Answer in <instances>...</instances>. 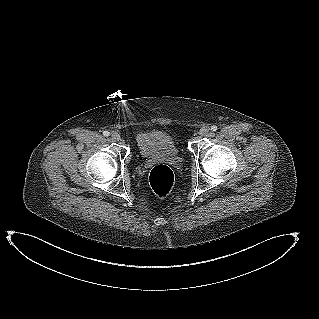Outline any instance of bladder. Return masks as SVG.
Masks as SVG:
<instances>
[{"label": "bladder", "instance_id": "31cf9c89", "mask_svg": "<svg viewBox=\"0 0 319 319\" xmlns=\"http://www.w3.org/2000/svg\"><path fill=\"white\" fill-rule=\"evenodd\" d=\"M137 150L144 159L177 158L178 147L174 139L161 131L140 133L136 138Z\"/></svg>", "mask_w": 319, "mask_h": 319}]
</instances>
